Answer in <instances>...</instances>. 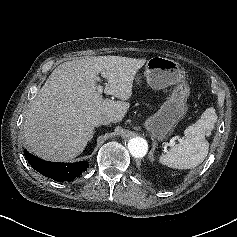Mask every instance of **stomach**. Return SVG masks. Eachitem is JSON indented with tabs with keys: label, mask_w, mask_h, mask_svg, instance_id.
Returning <instances> with one entry per match:
<instances>
[{
	"label": "stomach",
	"mask_w": 237,
	"mask_h": 237,
	"mask_svg": "<svg viewBox=\"0 0 237 237\" xmlns=\"http://www.w3.org/2000/svg\"><path fill=\"white\" fill-rule=\"evenodd\" d=\"M144 75L149 86L155 90L175 86L160 109L144 123L151 137L162 141L172 134L178 122L185 117L190 88L185 81L184 68L168 58H150L146 63Z\"/></svg>",
	"instance_id": "obj_1"
}]
</instances>
